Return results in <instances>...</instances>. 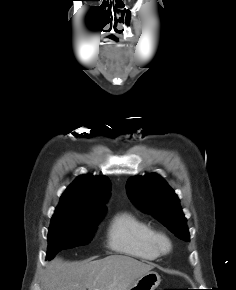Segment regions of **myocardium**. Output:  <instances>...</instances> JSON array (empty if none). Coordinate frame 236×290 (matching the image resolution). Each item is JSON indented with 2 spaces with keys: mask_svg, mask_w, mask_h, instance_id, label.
I'll return each instance as SVG.
<instances>
[{
  "mask_svg": "<svg viewBox=\"0 0 236 290\" xmlns=\"http://www.w3.org/2000/svg\"><path fill=\"white\" fill-rule=\"evenodd\" d=\"M153 242L159 254H166L170 252L172 248L170 238L162 232L154 233Z\"/></svg>",
  "mask_w": 236,
  "mask_h": 290,
  "instance_id": "1",
  "label": "myocardium"
}]
</instances>
